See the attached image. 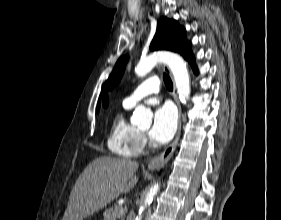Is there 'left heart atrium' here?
<instances>
[{"label": "left heart atrium", "mask_w": 281, "mask_h": 220, "mask_svg": "<svg viewBox=\"0 0 281 220\" xmlns=\"http://www.w3.org/2000/svg\"><path fill=\"white\" fill-rule=\"evenodd\" d=\"M177 129V115L170 105L159 107L153 118V125L149 132L150 137L157 143L169 142Z\"/></svg>", "instance_id": "obj_1"}]
</instances>
